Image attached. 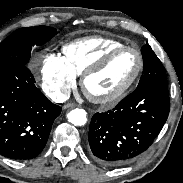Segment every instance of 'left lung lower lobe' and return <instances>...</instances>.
<instances>
[{
    "label": "left lung lower lobe",
    "instance_id": "1",
    "mask_svg": "<svg viewBox=\"0 0 183 183\" xmlns=\"http://www.w3.org/2000/svg\"><path fill=\"white\" fill-rule=\"evenodd\" d=\"M169 109L167 86L137 88L114 109L93 115L89 126L91 155L105 166L130 162L152 144Z\"/></svg>",
    "mask_w": 183,
    "mask_h": 183
}]
</instances>
